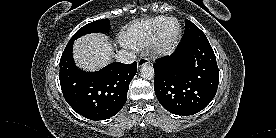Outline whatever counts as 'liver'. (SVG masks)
<instances>
[{
  "label": "liver",
  "mask_w": 276,
  "mask_h": 138,
  "mask_svg": "<svg viewBox=\"0 0 276 138\" xmlns=\"http://www.w3.org/2000/svg\"><path fill=\"white\" fill-rule=\"evenodd\" d=\"M113 46L103 34H88L74 43L73 55L76 64L87 71L105 66L111 59Z\"/></svg>",
  "instance_id": "liver-1"
}]
</instances>
